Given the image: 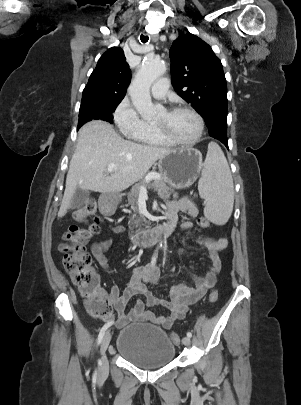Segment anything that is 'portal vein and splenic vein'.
<instances>
[{"label":"portal vein and splenic vein","instance_id":"18ae733b","mask_svg":"<svg viewBox=\"0 0 301 405\" xmlns=\"http://www.w3.org/2000/svg\"><path fill=\"white\" fill-rule=\"evenodd\" d=\"M115 167H116V164H115V163L108 165V171H112ZM160 177H161L160 174H158V173H152V174H150V175H148V176L146 177V180L149 181L150 179H158V178H160ZM146 193H147L146 187H141V188H140V194H146Z\"/></svg>","mask_w":301,"mask_h":405}]
</instances>
